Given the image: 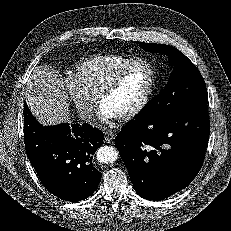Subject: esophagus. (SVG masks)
Listing matches in <instances>:
<instances>
[{
  "mask_svg": "<svg viewBox=\"0 0 231 231\" xmlns=\"http://www.w3.org/2000/svg\"><path fill=\"white\" fill-rule=\"evenodd\" d=\"M104 138L107 142H112L115 139V133L113 131L106 130L104 132Z\"/></svg>",
  "mask_w": 231,
  "mask_h": 231,
  "instance_id": "34e87169",
  "label": "esophagus"
}]
</instances>
